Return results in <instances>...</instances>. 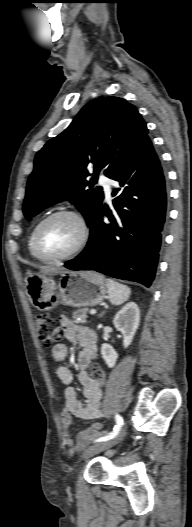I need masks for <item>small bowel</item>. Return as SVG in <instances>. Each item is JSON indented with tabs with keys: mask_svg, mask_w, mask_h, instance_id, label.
<instances>
[{
	"mask_svg": "<svg viewBox=\"0 0 192 527\" xmlns=\"http://www.w3.org/2000/svg\"><path fill=\"white\" fill-rule=\"evenodd\" d=\"M67 339L78 342L82 350L78 354L77 363L79 367L78 380L83 388V400L79 398L77 390L69 386L64 392L65 406L61 411V422L63 425L64 441L68 451L72 454L83 449L91 437L99 434L102 426L95 423L77 435L73 440L70 426L72 418L83 420H94L103 416L101 406L102 390L87 372V368L97 354V337L93 330L77 325L66 317L60 318ZM68 348L65 344H56L52 348V357L57 363L56 374L59 380L66 385L72 384L73 373L65 366Z\"/></svg>",
	"mask_w": 192,
	"mask_h": 527,
	"instance_id": "c3829d8e",
	"label": "small bowel"
}]
</instances>
